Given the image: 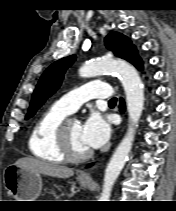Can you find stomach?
<instances>
[{
    "label": "stomach",
    "mask_w": 176,
    "mask_h": 211,
    "mask_svg": "<svg viewBox=\"0 0 176 211\" xmlns=\"http://www.w3.org/2000/svg\"><path fill=\"white\" fill-rule=\"evenodd\" d=\"M3 181L8 193L16 201H35L41 193L42 177L38 172L28 171L16 165H9L3 173ZM82 187H87L89 180L78 178Z\"/></svg>",
    "instance_id": "stomach-1"
}]
</instances>
